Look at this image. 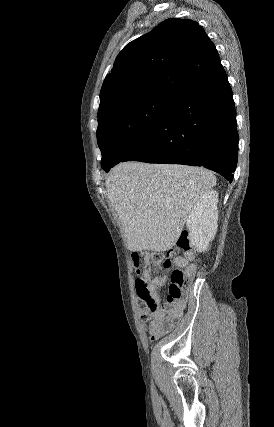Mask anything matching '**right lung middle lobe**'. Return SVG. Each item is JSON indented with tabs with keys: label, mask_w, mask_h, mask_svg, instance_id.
<instances>
[{
	"label": "right lung middle lobe",
	"mask_w": 274,
	"mask_h": 427,
	"mask_svg": "<svg viewBox=\"0 0 274 427\" xmlns=\"http://www.w3.org/2000/svg\"><path fill=\"white\" fill-rule=\"evenodd\" d=\"M175 96L153 94L121 101L98 115L102 168L120 162L158 124Z\"/></svg>",
	"instance_id": "dd1d6c3e"
}]
</instances>
